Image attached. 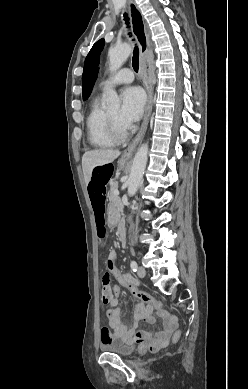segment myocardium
Instances as JSON below:
<instances>
[{
    "instance_id": "1",
    "label": "myocardium",
    "mask_w": 248,
    "mask_h": 389,
    "mask_svg": "<svg viewBox=\"0 0 248 389\" xmlns=\"http://www.w3.org/2000/svg\"><path fill=\"white\" fill-rule=\"evenodd\" d=\"M106 119H107L108 133L111 136V138L115 142L125 141L128 137V132L126 131V129L120 128L119 125L116 123V121L108 113L106 114Z\"/></svg>"
}]
</instances>
